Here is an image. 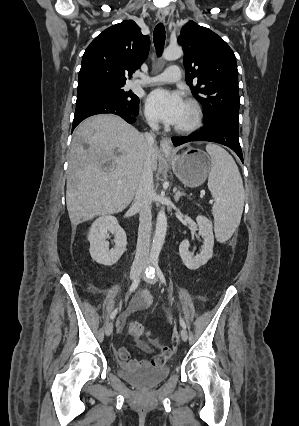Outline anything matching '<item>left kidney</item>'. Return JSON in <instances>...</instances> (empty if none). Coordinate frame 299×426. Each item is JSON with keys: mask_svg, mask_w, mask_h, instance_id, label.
<instances>
[{"mask_svg": "<svg viewBox=\"0 0 299 426\" xmlns=\"http://www.w3.org/2000/svg\"><path fill=\"white\" fill-rule=\"evenodd\" d=\"M196 221L199 230L198 234L203 239L201 252L193 256L189 252L190 243L187 239L183 240L179 246L180 257L184 265L190 270H196L205 265L213 255L214 235L212 222L201 215L197 216Z\"/></svg>", "mask_w": 299, "mask_h": 426, "instance_id": "5707ae66", "label": "left kidney"}]
</instances>
